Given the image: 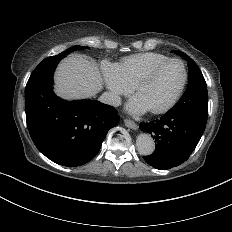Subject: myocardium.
<instances>
[{"label": "myocardium", "instance_id": "obj_1", "mask_svg": "<svg viewBox=\"0 0 232 232\" xmlns=\"http://www.w3.org/2000/svg\"><path fill=\"white\" fill-rule=\"evenodd\" d=\"M171 62H175V63H178L181 65V67L183 69V73H184L183 82H182L179 90L176 92V94L170 100V102L159 109L150 110V112L152 114H155V115L165 114V113L169 112L173 107H175V105L178 103L179 99L181 98L182 94L184 93V91L186 89L188 79H189V72H188V68H187L186 63L179 58L165 59V60L155 64L149 70H147L144 74H142L132 86V92L136 94L137 90L140 88V86L144 82L151 79L157 73L158 70H160L162 67H164L165 65H167L168 63H171Z\"/></svg>", "mask_w": 232, "mask_h": 232}]
</instances>
